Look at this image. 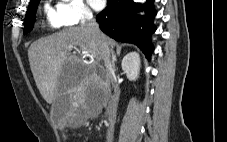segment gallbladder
<instances>
[{
    "mask_svg": "<svg viewBox=\"0 0 227 142\" xmlns=\"http://www.w3.org/2000/svg\"><path fill=\"white\" fill-rule=\"evenodd\" d=\"M72 97V93H60V97L54 100L51 107V114L55 122L61 123L67 113H73L74 105Z\"/></svg>",
    "mask_w": 227,
    "mask_h": 142,
    "instance_id": "obj_1",
    "label": "gallbladder"
}]
</instances>
